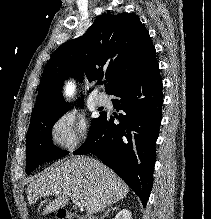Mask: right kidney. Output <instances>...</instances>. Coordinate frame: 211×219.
<instances>
[{
  "label": "right kidney",
  "mask_w": 211,
  "mask_h": 219,
  "mask_svg": "<svg viewBox=\"0 0 211 219\" xmlns=\"http://www.w3.org/2000/svg\"><path fill=\"white\" fill-rule=\"evenodd\" d=\"M114 219H132V214L129 210L123 209L118 212Z\"/></svg>",
  "instance_id": "obj_1"
}]
</instances>
